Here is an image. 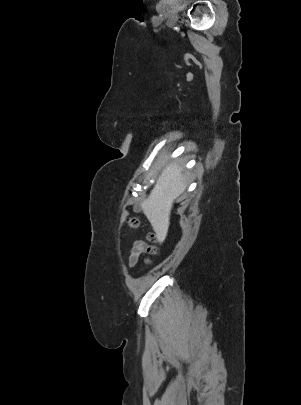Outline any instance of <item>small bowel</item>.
Segmentation results:
<instances>
[{"label": "small bowel", "mask_w": 301, "mask_h": 405, "mask_svg": "<svg viewBox=\"0 0 301 405\" xmlns=\"http://www.w3.org/2000/svg\"><path fill=\"white\" fill-rule=\"evenodd\" d=\"M146 250V244L143 241L137 240L131 246V252L128 257L129 267H134L142 253Z\"/></svg>", "instance_id": "small-bowel-1"}]
</instances>
